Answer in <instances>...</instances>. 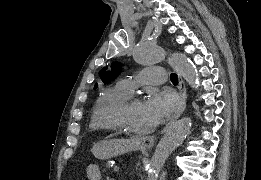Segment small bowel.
<instances>
[{
    "mask_svg": "<svg viewBox=\"0 0 261 180\" xmlns=\"http://www.w3.org/2000/svg\"><path fill=\"white\" fill-rule=\"evenodd\" d=\"M86 176L89 180H101V172L97 165L90 164L86 168Z\"/></svg>",
    "mask_w": 261,
    "mask_h": 180,
    "instance_id": "obj_1",
    "label": "small bowel"
}]
</instances>
